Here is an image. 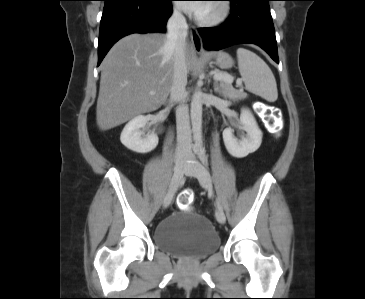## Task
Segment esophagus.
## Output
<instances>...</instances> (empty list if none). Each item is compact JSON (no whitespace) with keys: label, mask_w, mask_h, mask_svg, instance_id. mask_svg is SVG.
Masks as SVG:
<instances>
[{"label":"esophagus","mask_w":365,"mask_h":299,"mask_svg":"<svg viewBox=\"0 0 365 299\" xmlns=\"http://www.w3.org/2000/svg\"><path fill=\"white\" fill-rule=\"evenodd\" d=\"M191 43L196 52H201L203 49L202 39L195 27L190 28Z\"/></svg>","instance_id":"obj_1"}]
</instances>
